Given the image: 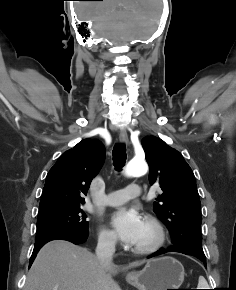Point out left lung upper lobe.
Instances as JSON below:
<instances>
[{
  "mask_svg": "<svg viewBox=\"0 0 236 290\" xmlns=\"http://www.w3.org/2000/svg\"><path fill=\"white\" fill-rule=\"evenodd\" d=\"M149 164V183L159 184L163 193L153 211L167 226L173 247H184L205 256L200 226L201 203L195 176L182 154L155 136L142 140Z\"/></svg>",
  "mask_w": 236,
  "mask_h": 290,
  "instance_id": "5c2ea615",
  "label": "left lung upper lobe"
}]
</instances>
